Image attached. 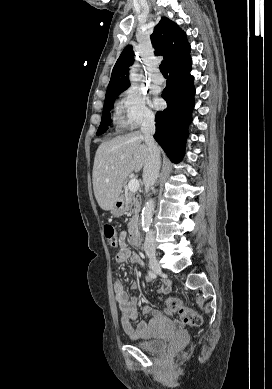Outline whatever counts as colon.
<instances>
[{"label": "colon", "instance_id": "colon-1", "mask_svg": "<svg viewBox=\"0 0 272 389\" xmlns=\"http://www.w3.org/2000/svg\"><path fill=\"white\" fill-rule=\"evenodd\" d=\"M104 235L110 246L116 247L119 244V238L113 226L105 225ZM167 311L171 314H177L186 325L197 327L202 323L201 316L188 308L178 297H169L167 299Z\"/></svg>", "mask_w": 272, "mask_h": 389}]
</instances>
